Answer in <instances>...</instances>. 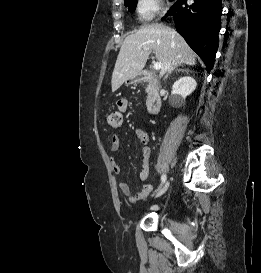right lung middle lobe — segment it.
<instances>
[{"label":"right lung middle lobe","mask_w":261,"mask_h":273,"mask_svg":"<svg viewBox=\"0 0 261 273\" xmlns=\"http://www.w3.org/2000/svg\"><path fill=\"white\" fill-rule=\"evenodd\" d=\"M125 6L128 7L129 12H132L136 7V0H125Z\"/></svg>","instance_id":"right-lung-middle-lobe-1"}]
</instances>
